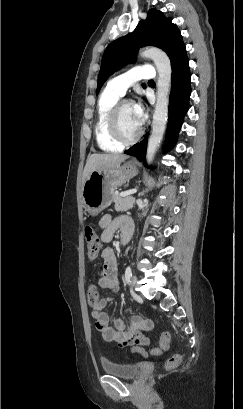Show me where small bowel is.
<instances>
[{"label": "small bowel", "mask_w": 243, "mask_h": 409, "mask_svg": "<svg viewBox=\"0 0 243 409\" xmlns=\"http://www.w3.org/2000/svg\"><path fill=\"white\" fill-rule=\"evenodd\" d=\"M100 226L102 228L101 241L103 243H109L118 229H121L122 233L126 230L133 231V223L124 217L112 220L110 216H105L102 218ZM101 258L103 266L99 273L98 286L117 291L119 283L117 280V259L115 253L111 248H105L101 251ZM110 301H112L110 297H105L99 299L96 305H91V315L96 329L101 333L105 341L117 342L120 347H129L131 351L145 355L144 348L150 345V341L143 335V332L152 329V321L136 316L126 326L122 319L114 318L113 326H111L109 324V316L103 311V308Z\"/></svg>", "instance_id": "c3829d8e"}]
</instances>
